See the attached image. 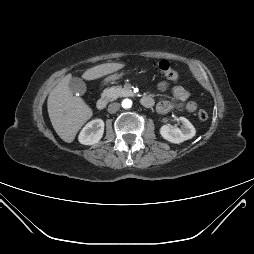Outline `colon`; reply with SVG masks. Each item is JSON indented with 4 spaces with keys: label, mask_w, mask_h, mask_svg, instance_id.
Wrapping results in <instances>:
<instances>
[{
    "label": "colon",
    "mask_w": 254,
    "mask_h": 254,
    "mask_svg": "<svg viewBox=\"0 0 254 254\" xmlns=\"http://www.w3.org/2000/svg\"><path fill=\"white\" fill-rule=\"evenodd\" d=\"M154 67L159 70L167 79L171 81H178L179 80V74L176 70H174L168 61L166 60H160L154 62ZM198 117L201 121L205 122L208 119V113L201 109L198 112Z\"/></svg>",
    "instance_id": "obj_1"
}]
</instances>
